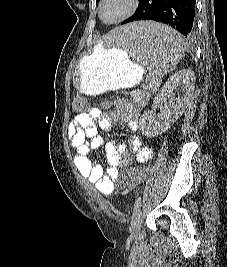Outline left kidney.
<instances>
[{
	"instance_id": "5707ae66",
	"label": "left kidney",
	"mask_w": 227,
	"mask_h": 267,
	"mask_svg": "<svg viewBox=\"0 0 227 267\" xmlns=\"http://www.w3.org/2000/svg\"><path fill=\"white\" fill-rule=\"evenodd\" d=\"M194 88L195 73L192 70L182 69L173 74L155 97L151 110L143 113L139 122L142 133L147 137H155L168 130L189 104ZM166 97L170 98L169 104L163 105ZM156 108H160V113L155 118Z\"/></svg>"
}]
</instances>
